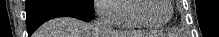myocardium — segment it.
I'll return each instance as SVG.
<instances>
[{"instance_id": "obj_1", "label": "myocardium", "mask_w": 219, "mask_h": 37, "mask_svg": "<svg viewBox=\"0 0 219 37\" xmlns=\"http://www.w3.org/2000/svg\"><path fill=\"white\" fill-rule=\"evenodd\" d=\"M145 1V0H132L131 7H130V14L131 17L134 19L135 22H137L140 26L142 27H147V28H161L164 27L169 23V21L172 19L173 14H174V8L172 1L170 0H165V2L168 4L170 13L169 16L166 20L162 22H152L149 20H146L143 18L139 12L140 10V4Z\"/></svg>"}]
</instances>
